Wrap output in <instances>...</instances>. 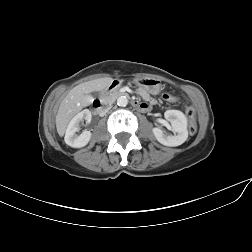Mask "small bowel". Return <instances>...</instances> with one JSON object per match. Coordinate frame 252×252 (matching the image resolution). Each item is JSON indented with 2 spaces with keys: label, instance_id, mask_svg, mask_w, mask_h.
<instances>
[{
  "label": "small bowel",
  "instance_id": "c3829d8e",
  "mask_svg": "<svg viewBox=\"0 0 252 252\" xmlns=\"http://www.w3.org/2000/svg\"><path fill=\"white\" fill-rule=\"evenodd\" d=\"M142 107L143 108L141 110L146 111L149 109V104L147 102H142Z\"/></svg>",
  "mask_w": 252,
  "mask_h": 252
}]
</instances>
